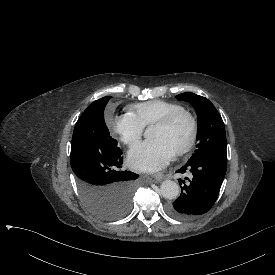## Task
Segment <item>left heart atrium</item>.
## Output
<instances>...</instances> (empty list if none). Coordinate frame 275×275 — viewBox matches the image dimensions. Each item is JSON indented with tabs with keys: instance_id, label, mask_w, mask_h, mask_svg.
Returning <instances> with one entry per match:
<instances>
[{
	"instance_id": "left-heart-atrium-1",
	"label": "left heart atrium",
	"mask_w": 275,
	"mask_h": 275,
	"mask_svg": "<svg viewBox=\"0 0 275 275\" xmlns=\"http://www.w3.org/2000/svg\"><path fill=\"white\" fill-rule=\"evenodd\" d=\"M174 150L162 140H150L129 155L130 165L138 170L156 171L169 164Z\"/></svg>"
}]
</instances>
